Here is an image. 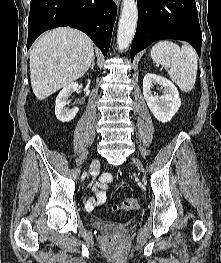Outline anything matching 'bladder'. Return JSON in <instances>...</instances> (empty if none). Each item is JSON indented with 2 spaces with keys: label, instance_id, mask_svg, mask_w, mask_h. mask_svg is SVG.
Segmentation results:
<instances>
[{
  "label": "bladder",
  "instance_id": "bladder-1",
  "mask_svg": "<svg viewBox=\"0 0 221 263\" xmlns=\"http://www.w3.org/2000/svg\"><path fill=\"white\" fill-rule=\"evenodd\" d=\"M91 225L96 229L106 230L114 227L121 226V224L112 222V221H106L102 219H94L91 222Z\"/></svg>",
  "mask_w": 221,
  "mask_h": 263
}]
</instances>
